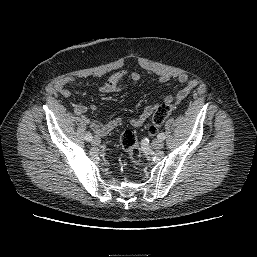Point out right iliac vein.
<instances>
[{
    "instance_id": "right-iliac-vein-1",
    "label": "right iliac vein",
    "mask_w": 257,
    "mask_h": 257,
    "mask_svg": "<svg viewBox=\"0 0 257 257\" xmlns=\"http://www.w3.org/2000/svg\"><path fill=\"white\" fill-rule=\"evenodd\" d=\"M100 143H101V140H100L99 137H94V138L92 139V144H93L94 146H98Z\"/></svg>"
}]
</instances>
